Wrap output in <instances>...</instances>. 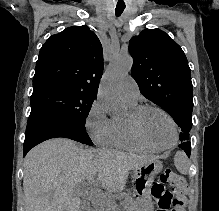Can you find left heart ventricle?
Listing matches in <instances>:
<instances>
[{"mask_svg": "<svg viewBox=\"0 0 219 211\" xmlns=\"http://www.w3.org/2000/svg\"><path fill=\"white\" fill-rule=\"evenodd\" d=\"M140 125L146 138L156 146H168L174 141V131L169 119L157 110L145 111Z\"/></svg>", "mask_w": 219, "mask_h": 211, "instance_id": "b2bd125f", "label": "left heart ventricle"}]
</instances>
